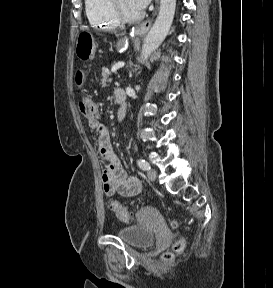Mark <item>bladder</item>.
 Returning <instances> with one entry per match:
<instances>
[{"label": "bladder", "mask_w": 273, "mask_h": 288, "mask_svg": "<svg viewBox=\"0 0 273 288\" xmlns=\"http://www.w3.org/2000/svg\"><path fill=\"white\" fill-rule=\"evenodd\" d=\"M118 236L124 243L135 248H147L156 240L154 232L140 225L124 227L119 230Z\"/></svg>", "instance_id": "obj_1"}]
</instances>
